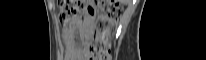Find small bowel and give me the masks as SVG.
<instances>
[{
  "mask_svg": "<svg viewBox=\"0 0 206 60\" xmlns=\"http://www.w3.org/2000/svg\"><path fill=\"white\" fill-rule=\"evenodd\" d=\"M87 24V19L78 21L75 26L64 30L63 37L66 48V59L67 60H79L81 59L82 53L75 46L74 33L77 27H82Z\"/></svg>",
  "mask_w": 206,
  "mask_h": 60,
  "instance_id": "obj_1",
  "label": "small bowel"
}]
</instances>
